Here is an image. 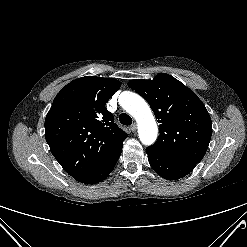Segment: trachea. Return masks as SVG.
Instances as JSON below:
<instances>
[{"mask_svg":"<svg viewBox=\"0 0 247 247\" xmlns=\"http://www.w3.org/2000/svg\"><path fill=\"white\" fill-rule=\"evenodd\" d=\"M119 120H120V123L123 125H131L132 123V118L126 113H122L119 116Z\"/></svg>","mask_w":247,"mask_h":247,"instance_id":"obj_1","label":"trachea"}]
</instances>
